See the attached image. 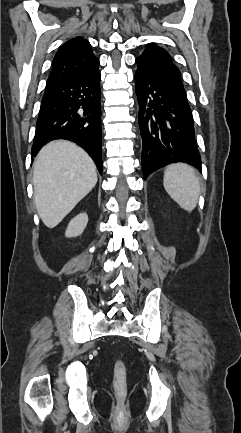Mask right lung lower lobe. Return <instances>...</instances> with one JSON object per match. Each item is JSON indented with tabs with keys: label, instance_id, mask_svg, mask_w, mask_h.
I'll use <instances>...</instances> for the list:
<instances>
[{
	"label": "right lung lower lobe",
	"instance_id": "right-lung-lower-lobe-1",
	"mask_svg": "<svg viewBox=\"0 0 241 433\" xmlns=\"http://www.w3.org/2000/svg\"><path fill=\"white\" fill-rule=\"evenodd\" d=\"M66 139L80 145L102 172L100 73L98 66L46 85L32 155L48 142Z\"/></svg>",
	"mask_w": 241,
	"mask_h": 433
}]
</instances>
